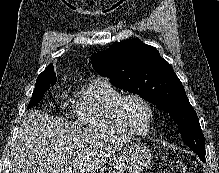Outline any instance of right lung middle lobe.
I'll list each match as a JSON object with an SVG mask.
<instances>
[{"label":"right lung middle lobe","mask_w":219,"mask_h":173,"mask_svg":"<svg viewBox=\"0 0 219 173\" xmlns=\"http://www.w3.org/2000/svg\"><path fill=\"white\" fill-rule=\"evenodd\" d=\"M56 81L57 79L55 77V73L40 74L37 78L35 89L33 91L32 98L27 109H30L31 107L37 105L39 101L43 98L48 88L54 85Z\"/></svg>","instance_id":"1"}]
</instances>
